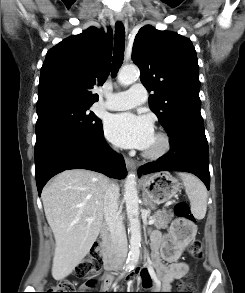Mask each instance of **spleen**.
<instances>
[{"instance_id": "3e777b00", "label": "spleen", "mask_w": 245, "mask_h": 293, "mask_svg": "<svg viewBox=\"0 0 245 293\" xmlns=\"http://www.w3.org/2000/svg\"><path fill=\"white\" fill-rule=\"evenodd\" d=\"M180 178L190 200L191 211L196 219H203L207 210V190L205 185L194 175L181 173Z\"/></svg>"}]
</instances>
